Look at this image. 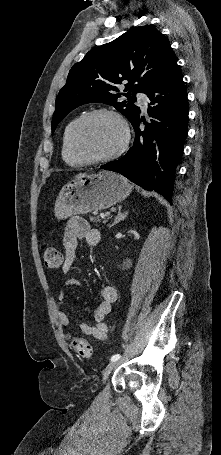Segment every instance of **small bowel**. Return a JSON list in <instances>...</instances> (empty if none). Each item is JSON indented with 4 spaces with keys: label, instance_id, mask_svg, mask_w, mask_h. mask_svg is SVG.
<instances>
[{
    "label": "small bowel",
    "instance_id": "1",
    "mask_svg": "<svg viewBox=\"0 0 221 455\" xmlns=\"http://www.w3.org/2000/svg\"><path fill=\"white\" fill-rule=\"evenodd\" d=\"M81 240H84L89 246H97L101 241V234L98 230L90 228L88 223L82 218L73 217L69 220L63 236L64 260L62 271L64 274H68L77 265V247ZM73 286H80V282L74 278L67 279L64 287ZM64 299L65 294L62 290L59 300L64 301ZM116 300V288L112 285L105 286L101 291V300L94 310V325L80 323L81 332L98 341L105 340L108 335V325L105 323V318L110 313L112 305ZM58 319L62 326H70L71 319L65 311L58 312Z\"/></svg>",
    "mask_w": 221,
    "mask_h": 455
}]
</instances>
